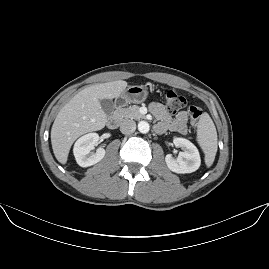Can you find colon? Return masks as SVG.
I'll return each instance as SVG.
<instances>
[{
	"mask_svg": "<svg viewBox=\"0 0 269 269\" xmlns=\"http://www.w3.org/2000/svg\"><path fill=\"white\" fill-rule=\"evenodd\" d=\"M165 106L169 112L176 113L186 106V99L177 92L169 91L165 95ZM188 111L191 124L193 126L197 125L203 114L201 109L191 105L188 106Z\"/></svg>",
	"mask_w": 269,
	"mask_h": 269,
	"instance_id": "5ec220e1",
	"label": "colon"
}]
</instances>
